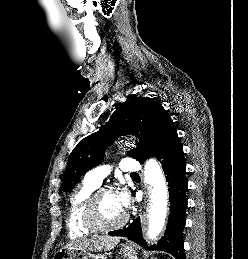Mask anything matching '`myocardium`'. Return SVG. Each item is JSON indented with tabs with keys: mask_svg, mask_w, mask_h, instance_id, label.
<instances>
[{
	"mask_svg": "<svg viewBox=\"0 0 248 259\" xmlns=\"http://www.w3.org/2000/svg\"><path fill=\"white\" fill-rule=\"evenodd\" d=\"M105 192H114V189L109 186L99 187L95 189L85 202L83 209V221L85 225L93 231H107L117 229L126 224L128 221V213L125 212L124 216L117 222L105 223L103 222L98 213V204L100 196Z\"/></svg>",
	"mask_w": 248,
	"mask_h": 259,
	"instance_id": "myocardium-1",
	"label": "myocardium"
}]
</instances>
